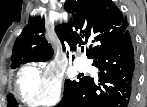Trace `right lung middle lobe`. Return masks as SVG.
Listing matches in <instances>:
<instances>
[{
	"label": "right lung middle lobe",
	"instance_id": "1",
	"mask_svg": "<svg viewBox=\"0 0 147 107\" xmlns=\"http://www.w3.org/2000/svg\"><path fill=\"white\" fill-rule=\"evenodd\" d=\"M30 61H35L34 59H31V60H28L26 62H30ZM25 62V63H26ZM19 65H14V66H11L13 69L18 67ZM82 79H80L79 81H72V80H69V79H66L65 80V86H64V96L67 95L68 93H70L71 91H73L77 85L79 84V82L81 81ZM7 100H8V106H12V107H17L18 104L16 103V100L14 98V96L12 94H9L7 96Z\"/></svg>",
	"mask_w": 147,
	"mask_h": 107
}]
</instances>
